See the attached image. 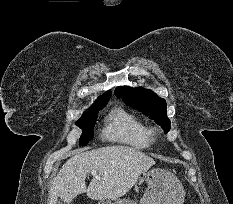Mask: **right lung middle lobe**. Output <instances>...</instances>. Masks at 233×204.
Here are the masks:
<instances>
[{"label": "right lung middle lobe", "instance_id": "dd1d6c3e", "mask_svg": "<svg viewBox=\"0 0 233 204\" xmlns=\"http://www.w3.org/2000/svg\"><path fill=\"white\" fill-rule=\"evenodd\" d=\"M108 101L101 102L93 105L87 112H84L82 117L76 124L83 130L82 135L79 139V145L85 146L93 138V128L95 119L98 114V110L102 109Z\"/></svg>", "mask_w": 233, "mask_h": 204}]
</instances>
